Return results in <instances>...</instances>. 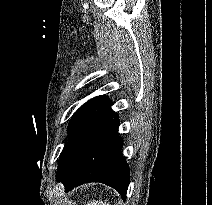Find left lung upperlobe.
<instances>
[{"mask_svg":"<svg viewBox=\"0 0 212 205\" xmlns=\"http://www.w3.org/2000/svg\"><path fill=\"white\" fill-rule=\"evenodd\" d=\"M102 96L94 97L93 99L89 100L87 103L83 104L73 115L69 126H68V134H69V140L61 152L59 163H58V170H57V177L60 174V171L63 167L64 159L68 153V149L71 143V140L75 134L76 129L78 128L80 122L85 117V115L88 113V111L95 105V103L101 98Z\"/></svg>","mask_w":212,"mask_h":205,"instance_id":"left-lung-upper-lobe-1","label":"left lung upper lobe"}]
</instances>
